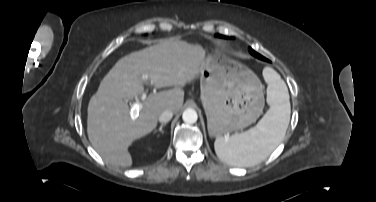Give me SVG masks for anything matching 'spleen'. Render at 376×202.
<instances>
[{"instance_id":"obj_1","label":"spleen","mask_w":376,"mask_h":202,"mask_svg":"<svg viewBox=\"0 0 376 202\" xmlns=\"http://www.w3.org/2000/svg\"><path fill=\"white\" fill-rule=\"evenodd\" d=\"M270 109L252 129L229 138L219 136L214 143L218 158L229 165L250 167L264 161L283 140L290 121L288 89L279 74L263 71Z\"/></svg>"}]
</instances>
